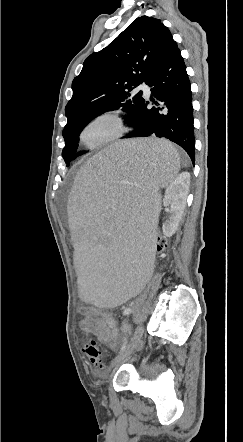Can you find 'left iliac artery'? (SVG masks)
<instances>
[{
	"label": "left iliac artery",
	"mask_w": 243,
	"mask_h": 442,
	"mask_svg": "<svg viewBox=\"0 0 243 442\" xmlns=\"http://www.w3.org/2000/svg\"><path fill=\"white\" fill-rule=\"evenodd\" d=\"M131 313H132V308H126V309L124 310V312H123L124 315H129V314H131ZM126 344H127V339L125 338V339H124L123 346H122V348H121V351H123V350L125 349Z\"/></svg>",
	"instance_id": "44dca946"
}]
</instances>
